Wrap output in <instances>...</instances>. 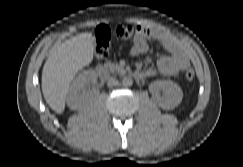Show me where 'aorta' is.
<instances>
[{"label": "aorta", "instance_id": "762f6f07", "mask_svg": "<svg viewBox=\"0 0 243 167\" xmlns=\"http://www.w3.org/2000/svg\"><path fill=\"white\" fill-rule=\"evenodd\" d=\"M132 84H133V80H132L131 77H124V78L122 79V85H123L124 87H130V86H132Z\"/></svg>", "mask_w": 243, "mask_h": 167}]
</instances>
